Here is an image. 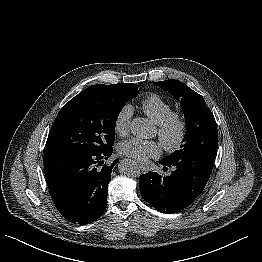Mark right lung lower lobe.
Instances as JSON below:
<instances>
[{
  "mask_svg": "<svg viewBox=\"0 0 262 262\" xmlns=\"http://www.w3.org/2000/svg\"><path fill=\"white\" fill-rule=\"evenodd\" d=\"M112 151L45 149L47 186L56 208L68 221L89 224L105 211L111 171L119 161L103 164Z\"/></svg>",
  "mask_w": 262,
  "mask_h": 262,
  "instance_id": "98d812e1",
  "label": "right lung lower lobe"
}]
</instances>
